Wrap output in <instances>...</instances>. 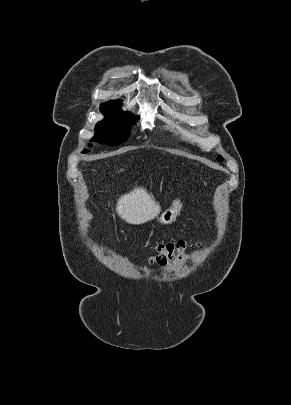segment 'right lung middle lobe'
I'll use <instances>...</instances> for the list:
<instances>
[{
	"label": "right lung middle lobe",
	"instance_id": "1",
	"mask_svg": "<svg viewBox=\"0 0 291 405\" xmlns=\"http://www.w3.org/2000/svg\"><path fill=\"white\" fill-rule=\"evenodd\" d=\"M107 117L98 122L95 130L96 135L92 141H98L101 144L118 145L127 141L131 125L135 124L136 119L131 113H104ZM90 146H92L90 144ZM87 150L83 151L86 153Z\"/></svg>",
	"mask_w": 291,
	"mask_h": 405
}]
</instances>
